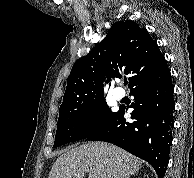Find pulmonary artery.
Wrapping results in <instances>:
<instances>
[{
  "mask_svg": "<svg viewBox=\"0 0 194 178\" xmlns=\"http://www.w3.org/2000/svg\"><path fill=\"white\" fill-rule=\"evenodd\" d=\"M125 96V92L123 89L121 88H117L113 91V97L116 99V100H121L123 99Z\"/></svg>",
  "mask_w": 194,
  "mask_h": 178,
  "instance_id": "e3ab8cb5",
  "label": "pulmonary artery"
}]
</instances>
